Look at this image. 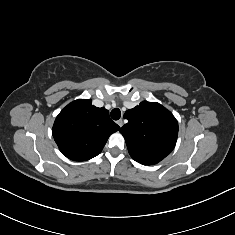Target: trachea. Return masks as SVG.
Instances as JSON below:
<instances>
[{
  "label": "trachea",
  "instance_id": "trachea-1",
  "mask_svg": "<svg viewBox=\"0 0 235 235\" xmlns=\"http://www.w3.org/2000/svg\"><path fill=\"white\" fill-rule=\"evenodd\" d=\"M111 117L113 120H118L121 117V111L119 108H115L111 111Z\"/></svg>",
  "mask_w": 235,
  "mask_h": 235
}]
</instances>
